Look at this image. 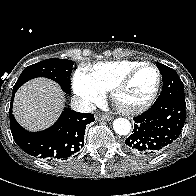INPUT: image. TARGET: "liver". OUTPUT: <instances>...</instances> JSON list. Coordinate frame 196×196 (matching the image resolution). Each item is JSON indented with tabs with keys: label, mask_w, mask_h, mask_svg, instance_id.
Segmentation results:
<instances>
[{
	"label": "liver",
	"mask_w": 196,
	"mask_h": 196,
	"mask_svg": "<svg viewBox=\"0 0 196 196\" xmlns=\"http://www.w3.org/2000/svg\"><path fill=\"white\" fill-rule=\"evenodd\" d=\"M64 108V93L54 81L36 78L25 83L16 93L13 113L21 126L29 131L52 125Z\"/></svg>",
	"instance_id": "obj_1"
}]
</instances>
